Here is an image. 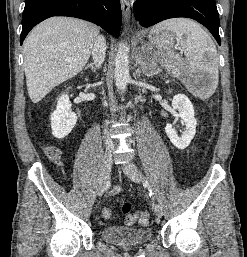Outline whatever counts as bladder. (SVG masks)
Instances as JSON below:
<instances>
[{"mask_svg": "<svg viewBox=\"0 0 247 257\" xmlns=\"http://www.w3.org/2000/svg\"><path fill=\"white\" fill-rule=\"evenodd\" d=\"M104 241L119 246H136L149 242L152 232L148 228H130L124 226H106L101 230Z\"/></svg>", "mask_w": 247, "mask_h": 257, "instance_id": "obj_1", "label": "bladder"}]
</instances>
